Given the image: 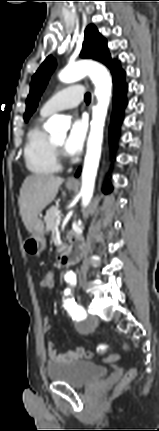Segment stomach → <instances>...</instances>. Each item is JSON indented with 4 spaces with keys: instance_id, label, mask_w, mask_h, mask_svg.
<instances>
[{
    "instance_id": "1",
    "label": "stomach",
    "mask_w": 159,
    "mask_h": 431,
    "mask_svg": "<svg viewBox=\"0 0 159 431\" xmlns=\"http://www.w3.org/2000/svg\"><path fill=\"white\" fill-rule=\"evenodd\" d=\"M69 190H74L75 186L67 185ZM44 222L41 217H38L32 228L31 236L24 242V250L28 254L38 255L46 246V240L44 237Z\"/></svg>"
}]
</instances>
